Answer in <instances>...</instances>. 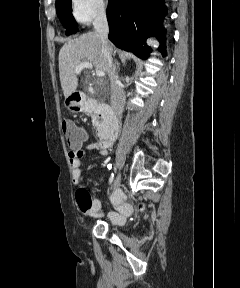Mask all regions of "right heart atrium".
Instances as JSON below:
<instances>
[{
  "mask_svg": "<svg viewBox=\"0 0 240 288\" xmlns=\"http://www.w3.org/2000/svg\"><path fill=\"white\" fill-rule=\"evenodd\" d=\"M73 14L80 23H88L105 13L104 0H72Z\"/></svg>",
  "mask_w": 240,
  "mask_h": 288,
  "instance_id": "d8ad5b80",
  "label": "right heart atrium"
}]
</instances>
